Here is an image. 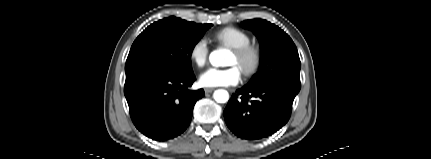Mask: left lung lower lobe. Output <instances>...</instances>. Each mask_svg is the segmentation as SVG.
Wrapping results in <instances>:
<instances>
[{"instance_id": "0a47b994", "label": "left lung lower lobe", "mask_w": 431, "mask_h": 159, "mask_svg": "<svg viewBox=\"0 0 431 159\" xmlns=\"http://www.w3.org/2000/svg\"><path fill=\"white\" fill-rule=\"evenodd\" d=\"M301 84L289 78H276L259 86H244L229 100L224 119L238 137L258 140L284 126L290 118L292 104Z\"/></svg>"}]
</instances>
